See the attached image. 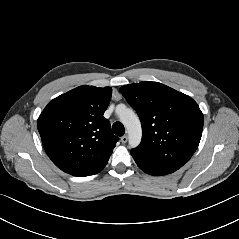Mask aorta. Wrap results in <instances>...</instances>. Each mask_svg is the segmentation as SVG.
<instances>
[{
  "label": "aorta",
  "instance_id": "762f6f07",
  "mask_svg": "<svg viewBox=\"0 0 239 239\" xmlns=\"http://www.w3.org/2000/svg\"><path fill=\"white\" fill-rule=\"evenodd\" d=\"M116 113L124 127L127 129L130 146L132 148L137 147L140 144L142 137L141 123L138 116L132 109L126 108L122 105L116 107Z\"/></svg>",
  "mask_w": 239,
  "mask_h": 239
}]
</instances>
